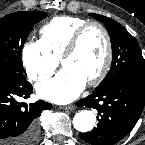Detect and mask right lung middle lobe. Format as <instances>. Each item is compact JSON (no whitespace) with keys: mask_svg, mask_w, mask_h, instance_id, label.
<instances>
[{"mask_svg":"<svg viewBox=\"0 0 145 145\" xmlns=\"http://www.w3.org/2000/svg\"><path fill=\"white\" fill-rule=\"evenodd\" d=\"M47 13L23 11L0 19V72L23 73L21 52L32 27Z\"/></svg>","mask_w":145,"mask_h":145,"instance_id":"right-lung-middle-lobe-1","label":"right lung middle lobe"}]
</instances>
